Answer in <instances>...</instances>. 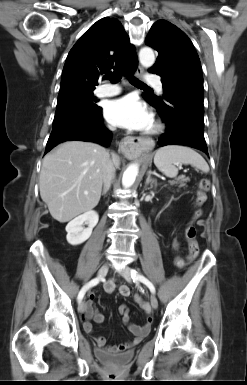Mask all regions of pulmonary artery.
Masks as SVG:
<instances>
[{"label": "pulmonary artery", "mask_w": 247, "mask_h": 385, "mask_svg": "<svg viewBox=\"0 0 247 385\" xmlns=\"http://www.w3.org/2000/svg\"><path fill=\"white\" fill-rule=\"evenodd\" d=\"M148 82L152 83L156 90L162 93V83L157 76H149ZM120 92V87L114 84H103L96 89V95L99 97H109Z\"/></svg>", "instance_id": "1"}]
</instances>
